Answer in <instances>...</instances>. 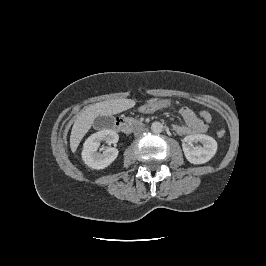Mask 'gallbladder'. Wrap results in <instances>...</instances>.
<instances>
[{
  "mask_svg": "<svg viewBox=\"0 0 266 266\" xmlns=\"http://www.w3.org/2000/svg\"><path fill=\"white\" fill-rule=\"evenodd\" d=\"M114 124V118L112 116H98L94 120V127L98 129L111 128Z\"/></svg>",
  "mask_w": 266,
  "mask_h": 266,
  "instance_id": "obj_1",
  "label": "gallbladder"
}]
</instances>
